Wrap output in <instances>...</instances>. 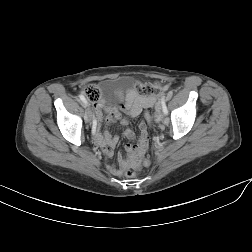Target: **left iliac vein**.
Listing matches in <instances>:
<instances>
[{"label": "left iliac vein", "mask_w": 252, "mask_h": 252, "mask_svg": "<svg viewBox=\"0 0 252 252\" xmlns=\"http://www.w3.org/2000/svg\"><path fill=\"white\" fill-rule=\"evenodd\" d=\"M161 106H157V112L155 114V121L157 123L166 121L165 115L160 111Z\"/></svg>", "instance_id": "left-iliac-vein-1"}]
</instances>
